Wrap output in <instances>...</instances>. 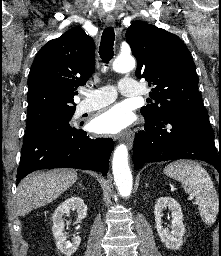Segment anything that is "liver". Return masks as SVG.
I'll return each instance as SVG.
<instances>
[{"mask_svg": "<svg viewBox=\"0 0 221 256\" xmlns=\"http://www.w3.org/2000/svg\"><path fill=\"white\" fill-rule=\"evenodd\" d=\"M77 180L73 169L36 171L23 179L17 189V213L24 216L33 209L57 199Z\"/></svg>", "mask_w": 221, "mask_h": 256, "instance_id": "liver-1", "label": "liver"}]
</instances>
